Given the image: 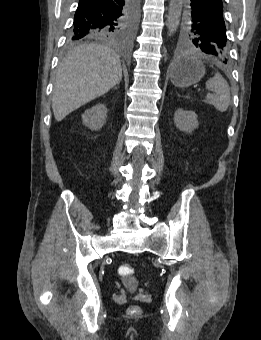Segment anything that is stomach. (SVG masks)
Returning <instances> with one entry per match:
<instances>
[{
	"mask_svg": "<svg viewBox=\"0 0 261 340\" xmlns=\"http://www.w3.org/2000/svg\"><path fill=\"white\" fill-rule=\"evenodd\" d=\"M170 79L177 87H188L205 75L203 62L195 56H186L177 60L170 68Z\"/></svg>",
	"mask_w": 261,
	"mask_h": 340,
	"instance_id": "obj_1",
	"label": "stomach"
}]
</instances>
